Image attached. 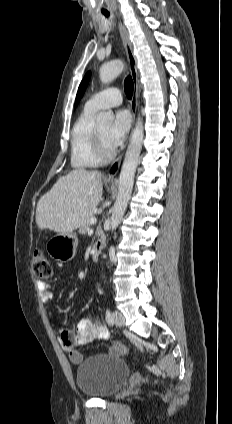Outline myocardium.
<instances>
[{
	"mask_svg": "<svg viewBox=\"0 0 232 424\" xmlns=\"http://www.w3.org/2000/svg\"><path fill=\"white\" fill-rule=\"evenodd\" d=\"M94 152L102 163L112 160L116 155V150L114 148L107 150L104 146L101 133L97 126H95L94 129Z\"/></svg>",
	"mask_w": 232,
	"mask_h": 424,
	"instance_id": "myocardium-1",
	"label": "myocardium"
}]
</instances>
